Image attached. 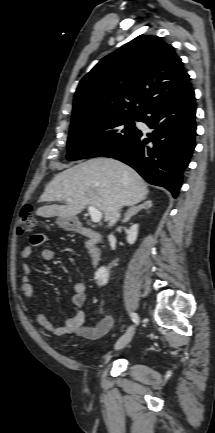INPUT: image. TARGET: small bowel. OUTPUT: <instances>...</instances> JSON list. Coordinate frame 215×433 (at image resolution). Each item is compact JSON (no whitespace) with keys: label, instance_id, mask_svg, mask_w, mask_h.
Segmentation results:
<instances>
[{"label":"small bowel","instance_id":"small-bowel-1","mask_svg":"<svg viewBox=\"0 0 215 433\" xmlns=\"http://www.w3.org/2000/svg\"><path fill=\"white\" fill-rule=\"evenodd\" d=\"M49 240L48 235L44 233H37L30 239V243L24 246L21 250V256L25 259L29 258L32 254L33 248L46 244ZM41 258L45 262L54 260V252L49 248H44L41 251ZM23 275L21 278V291L25 298L31 300L34 297V289L31 284V266L27 263L22 266ZM87 295V286L83 281L75 282L73 285V292L70 300L71 304L80 308L85 304ZM37 323L46 331L57 335H75L80 338L88 340H97L105 336L113 327L114 318L111 315L103 317L95 326L87 323L85 314L78 311L69 316L61 326H55L47 316L42 313L37 306H33Z\"/></svg>","mask_w":215,"mask_h":433}]
</instances>
